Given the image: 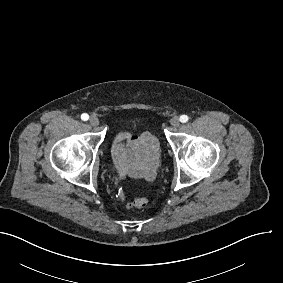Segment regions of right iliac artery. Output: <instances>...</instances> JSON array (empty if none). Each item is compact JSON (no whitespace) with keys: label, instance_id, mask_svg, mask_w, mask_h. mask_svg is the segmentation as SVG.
Here are the masks:
<instances>
[{"label":"right iliac artery","instance_id":"82829eb1","mask_svg":"<svg viewBox=\"0 0 283 283\" xmlns=\"http://www.w3.org/2000/svg\"><path fill=\"white\" fill-rule=\"evenodd\" d=\"M81 119H82L83 121H87V120L89 119V115L86 114V113H83V114L81 115Z\"/></svg>","mask_w":283,"mask_h":283}]
</instances>
